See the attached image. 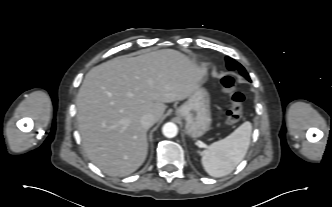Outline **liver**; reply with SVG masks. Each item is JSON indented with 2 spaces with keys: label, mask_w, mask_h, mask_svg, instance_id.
Listing matches in <instances>:
<instances>
[{
  "label": "liver",
  "mask_w": 332,
  "mask_h": 207,
  "mask_svg": "<svg viewBox=\"0 0 332 207\" xmlns=\"http://www.w3.org/2000/svg\"><path fill=\"white\" fill-rule=\"evenodd\" d=\"M207 70L172 49L120 56L92 68L77 95V121L88 158L110 176L136 171L147 155V129L158 122L165 103L189 97Z\"/></svg>",
  "instance_id": "liver-1"
}]
</instances>
